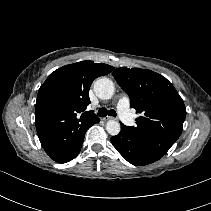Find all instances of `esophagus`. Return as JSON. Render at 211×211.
Listing matches in <instances>:
<instances>
[{"label":"esophagus","instance_id":"34e87169","mask_svg":"<svg viewBox=\"0 0 211 211\" xmlns=\"http://www.w3.org/2000/svg\"><path fill=\"white\" fill-rule=\"evenodd\" d=\"M104 120H116V119L113 117L107 116L106 118H104Z\"/></svg>","mask_w":211,"mask_h":211}]
</instances>
